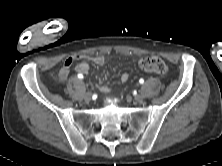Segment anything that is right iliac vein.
I'll list each match as a JSON object with an SVG mask.
<instances>
[{
    "label": "right iliac vein",
    "instance_id": "1",
    "mask_svg": "<svg viewBox=\"0 0 222 166\" xmlns=\"http://www.w3.org/2000/svg\"><path fill=\"white\" fill-rule=\"evenodd\" d=\"M84 98H85L86 101H90L91 98H92L91 92H87V93L85 94Z\"/></svg>",
    "mask_w": 222,
    "mask_h": 166
}]
</instances>
